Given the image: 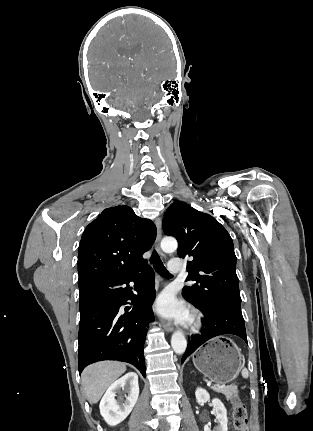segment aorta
<instances>
[{
  "mask_svg": "<svg viewBox=\"0 0 313 431\" xmlns=\"http://www.w3.org/2000/svg\"><path fill=\"white\" fill-rule=\"evenodd\" d=\"M178 247L177 241L174 238L166 237L161 241V249L166 253L174 252ZM171 346L175 353L182 354L187 347V341L181 331H176L171 337Z\"/></svg>",
  "mask_w": 313,
  "mask_h": 431,
  "instance_id": "1",
  "label": "aorta"
}]
</instances>
